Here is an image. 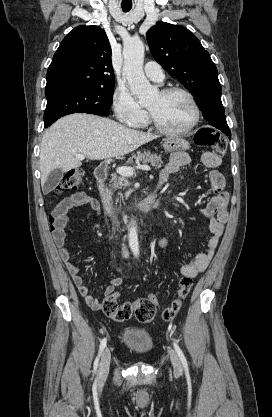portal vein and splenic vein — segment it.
<instances>
[{
  "label": "portal vein and splenic vein",
  "mask_w": 272,
  "mask_h": 417,
  "mask_svg": "<svg viewBox=\"0 0 272 417\" xmlns=\"http://www.w3.org/2000/svg\"><path fill=\"white\" fill-rule=\"evenodd\" d=\"M85 156L83 154H77L76 159L83 160ZM138 169L149 171L150 167L147 165H137ZM117 173L122 176H132L134 174V169L132 167H119L117 168Z\"/></svg>",
  "instance_id": "portal-vein-and-splenic-vein-1"
}]
</instances>
